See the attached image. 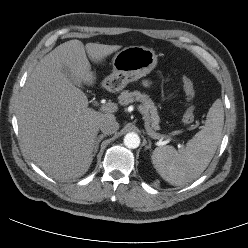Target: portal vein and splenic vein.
<instances>
[{
	"label": "portal vein and splenic vein",
	"mask_w": 248,
	"mask_h": 248,
	"mask_svg": "<svg viewBox=\"0 0 248 248\" xmlns=\"http://www.w3.org/2000/svg\"><path fill=\"white\" fill-rule=\"evenodd\" d=\"M117 109H118L117 105L115 103H112V102H108V103H106L105 105L102 106V110L105 111V112L112 113V112H116ZM137 109L141 114L144 115L145 111H144V109H143V107L141 105L137 106ZM146 130L148 132V135L151 138H153V139H160L161 138L160 135H158L157 133L152 132L150 128L146 127ZM160 144H163V142L160 141Z\"/></svg>",
	"instance_id": "18ae733b"
}]
</instances>
